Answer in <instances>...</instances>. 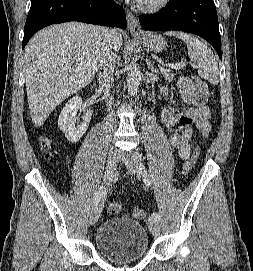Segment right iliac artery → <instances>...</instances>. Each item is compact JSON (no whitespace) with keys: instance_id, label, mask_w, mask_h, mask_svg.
<instances>
[{"instance_id":"82829eb1","label":"right iliac artery","mask_w":253,"mask_h":271,"mask_svg":"<svg viewBox=\"0 0 253 271\" xmlns=\"http://www.w3.org/2000/svg\"><path fill=\"white\" fill-rule=\"evenodd\" d=\"M104 190H105V185L102 184L100 186L98 192L95 195L94 205H96L101 200V197L103 196Z\"/></svg>"}]
</instances>
